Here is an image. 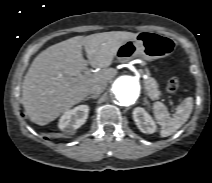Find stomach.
<instances>
[{"instance_id":"stomach-1","label":"stomach","mask_w":212,"mask_h":183,"mask_svg":"<svg viewBox=\"0 0 212 183\" xmlns=\"http://www.w3.org/2000/svg\"><path fill=\"white\" fill-rule=\"evenodd\" d=\"M175 49L176 41L170 36L152 31H142L119 48L116 58L120 62H128L134 57L153 61L172 54Z\"/></svg>"}]
</instances>
